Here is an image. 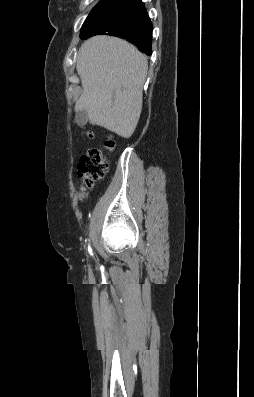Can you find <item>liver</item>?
Masks as SVG:
<instances>
[{"label": "liver", "instance_id": "6515ba94", "mask_svg": "<svg viewBox=\"0 0 254 397\" xmlns=\"http://www.w3.org/2000/svg\"><path fill=\"white\" fill-rule=\"evenodd\" d=\"M76 69L83 88L76 111L86 110L91 124L129 138L142 110L147 57L122 39L99 35L83 43Z\"/></svg>", "mask_w": 254, "mask_h": 397}]
</instances>
